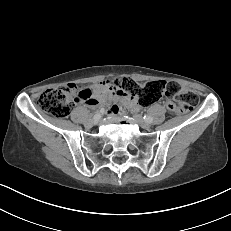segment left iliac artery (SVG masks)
<instances>
[{
    "label": "left iliac artery",
    "instance_id": "left-iliac-artery-1",
    "mask_svg": "<svg viewBox=\"0 0 231 231\" xmlns=\"http://www.w3.org/2000/svg\"><path fill=\"white\" fill-rule=\"evenodd\" d=\"M144 119H145V121H147V122H152V117L151 116H149V115H145L144 116Z\"/></svg>",
    "mask_w": 231,
    "mask_h": 231
}]
</instances>
